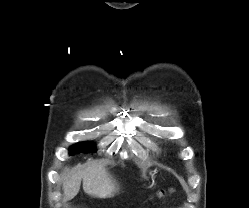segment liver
Returning a JSON list of instances; mask_svg holds the SVG:
<instances>
[{"mask_svg":"<svg viewBox=\"0 0 249 208\" xmlns=\"http://www.w3.org/2000/svg\"><path fill=\"white\" fill-rule=\"evenodd\" d=\"M82 180L84 192L93 197L108 198L119 192L117 184L104 165L94 161L83 168L63 170L64 200H71L78 194Z\"/></svg>","mask_w":249,"mask_h":208,"instance_id":"1","label":"liver"}]
</instances>
